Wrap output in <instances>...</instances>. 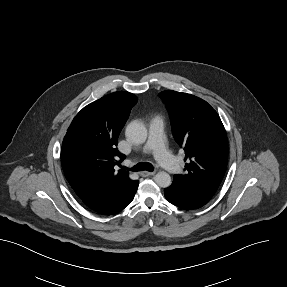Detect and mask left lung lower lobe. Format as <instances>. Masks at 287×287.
<instances>
[{
  "mask_svg": "<svg viewBox=\"0 0 287 287\" xmlns=\"http://www.w3.org/2000/svg\"><path fill=\"white\" fill-rule=\"evenodd\" d=\"M166 199L182 209H197L208 203L214 194L198 186L173 180L172 184L164 189Z\"/></svg>",
  "mask_w": 287,
  "mask_h": 287,
  "instance_id": "obj_1",
  "label": "left lung lower lobe"
}]
</instances>
